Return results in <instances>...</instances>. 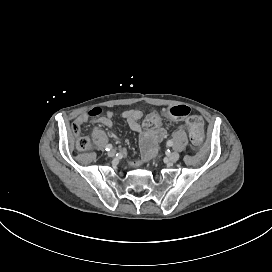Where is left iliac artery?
I'll return each instance as SVG.
<instances>
[{"label":"left iliac artery","mask_w":272,"mask_h":272,"mask_svg":"<svg viewBox=\"0 0 272 272\" xmlns=\"http://www.w3.org/2000/svg\"><path fill=\"white\" fill-rule=\"evenodd\" d=\"M167 145H168V146H172V145H173L172 140H168V141H167Z\"/></svg>","instance_id":"1"}]
</instances>
